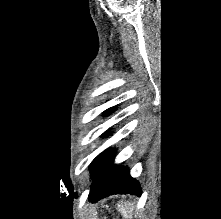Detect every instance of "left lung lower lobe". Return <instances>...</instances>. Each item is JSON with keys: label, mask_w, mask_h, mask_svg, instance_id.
Here are the masks:
<instances>
[{"label": "left lung lower lobe", "mask_w": 221, "mask_h": 219, "mask_svg": "<svg viewBox=\"0 0 221 219\" xmlns=\"http://www.w3.org/2000/svg\"><path fill=\"white\" fill-rule=\"evenodd\" d=\"M115 151L108 149L99 154L91 163L93 182L89 199L96 202L111 194L141 195L138 182L130 176L127 167L113 165Z\"/></svg>", "instance_id": "left-lung-lower-lobe-1"}]
</instances>
